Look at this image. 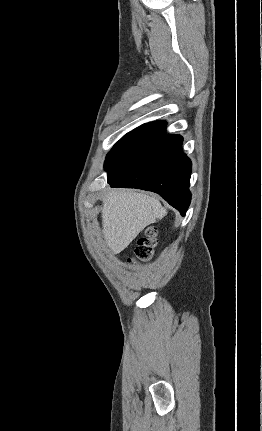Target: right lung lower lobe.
Wrapping results in <instances>:
<instances>
[{"instance_id": "obj_1", "label": "right lung lower lobe", "mask_w": 262, "mask_h": 431, "mask_svg": "<svg viewBox=\"0 0 262 431\" xmlns=\"http://www.w3.org/2000/svg\"><path fill=\"white\" fill-rule=\"evenodd\" d=\"M165 128V121L150 122L120 139L106 157L108 183L156 192L184 216L192 164L182 151L183 138L166 135Z\"/></svg>"}]
</instances>
